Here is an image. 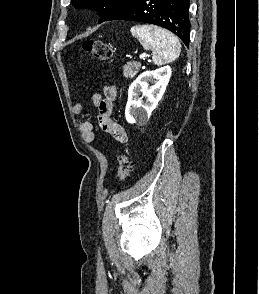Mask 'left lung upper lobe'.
Returning <instances> with one entry per match:
<instances>
[{"label": "left lung upper lobe", "instance_id": "5c2ea615", "mask_svg": "<svg viewBox=\"0 0 259 294\" xmlns=\"http://www.w3.org/2000/svg\"><path fill=\"white\" fill-rule=\"evenodd\" d=\"M128 0H71L77 9H91L97 11L101 17L99 23L103 22L116 8Z\"/></svg>", "mask_w": 259, "mask_h": 294}]
</instances>
